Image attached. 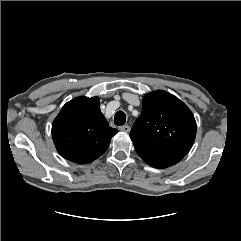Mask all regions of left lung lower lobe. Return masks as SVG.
<instances>
[{
    "instance_id": "left-lung-lower-lobe-1",
    "label": "left lung lower lobe",
    "mask_w": 241,
    "mask_h": 241,
    "mask_svg": "<svg viewBox=\"0 0 241 241\" xmlns=\"http://www.w3.org/2000/svg\"><path fill=\"white\" fill-rule=\"evenodd\" d=\"M137 154L150 166L167 168L178 163L184 156L173 154H158L135 147Z\"/></svg>"
}]
</instances>
